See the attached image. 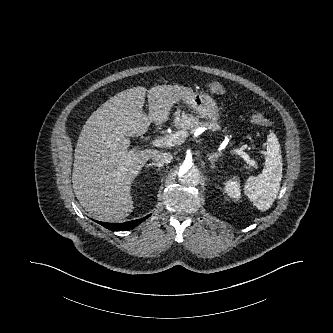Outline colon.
<instances>
[{"mask_svg":"<svg viewBox=\"0 0 333 333\" xmlns=\"http://www.w3.org/2000/svg\"><path fill=\"white\" fill-rule=\"evenodd\" d=\"M208 89L215 94H219V95H225L226 89L224 88L223 85H221L218 82H210L207 85ZM250 121L255 124V125H259V126H270L272 123L269 119H267L264 115H262L261 113H253L250 116Z\"/></svg>","mask_w":333,"mask_h":333,"instance_id":"1","label":"colon"}]
</instances>
